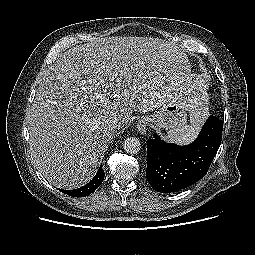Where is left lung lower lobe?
Instances as JSON below:
<instances>
[{
    "mask_svg": "<svg viewBox=\"0 0 255 255\" xmlns=\"http://www.w3.org/2000/svg\"><path fill=\"white\" fill-rule=\"evenodd\" d=\"M223 121L210 116L197 139L178 146L162 141L154 134L147 142V180L158 192L182 190L207 173L221 143Z\"/></svg>",
    "mask_w": 255,
    "mask_h": 255,
    "instance_id": "1",
    "label": "left lung lower lobe"
}]
</instances>
